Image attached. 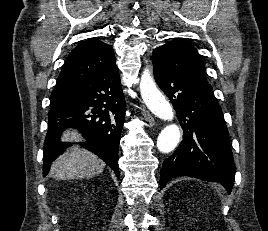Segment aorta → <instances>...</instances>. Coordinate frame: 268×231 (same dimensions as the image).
<instances>
[{
  "label": "aorta",
  "mask_w": 268,
  "mask_h": 231,
  "mask_svg": "<svg viewBox=\"0 0 268 231\" xmlns=\"http://www.w3.org/2000/svg\"><path fill=\"white\" fill-rule=\"evenodd\" d=\"M140 92L148 109L158 118L172 121L173 109L161 91L157 88L149 69L141 75ZM181 136L180 128L176 124L167 125L157 138V148L162 153H169L175 149Z\"/></svg>",
  "instance_id": "1"
}]
</instances>
